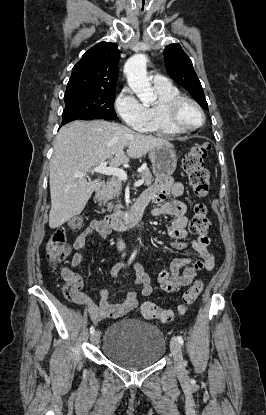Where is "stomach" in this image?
Segmentation results:
<instances>
[{
	"label": "stomach",
	"mask_w": 266,
	"mask_h": 415,
	"mask_svg": "<svg viewBox=\"0 0 266 415\" xmlns=\"http://www.w3.org/2000/svg\"><path fill=\"white\" fill-rule=\"evenodd\" d=\"M149 159L156 178L170 176L177 166V156L172 147L159 145L149 151Z\"/></svg>",
	"instance_id": "stomach-1"
}]
</instances>
